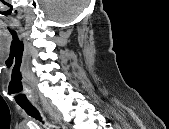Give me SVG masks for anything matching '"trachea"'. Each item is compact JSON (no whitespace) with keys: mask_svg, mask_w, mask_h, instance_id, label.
I'll return each mask as SVG.
<instances>
[{"mask_svg":"<svg viewBox=\"0 0 169 129\" xmlns=\"http://www.w3.org/2000/svg\"><path fill=\"white\" fill-rule=\"evenodd\" d=\"M21 108H23L29 116L42 121L40 112L33 105H21Z\"/></svg>","mask_w":169,"mask_h":129,"instance_id":"trachea-1","label":"trachea"}]
</instances>
